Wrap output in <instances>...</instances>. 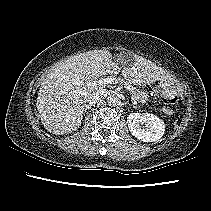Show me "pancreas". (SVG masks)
<instances>
[{
  "label": "pancreas",
  "instance_id": "cf45deb5",
  "mask_svg": "<svg viewBox=\"0 0 211 211\" xmlns=\"http://www.w3.org/2000/svg\"><path fill=\"white\" fill-rule=\"evenodd\" d=\"M130 91L132 92V96L135 97V99L140 103H146L149 95L145 92L140 91L139 89L135 87H131Z\"/></svg>",
  "mask_w": 211,
  "mask_h": 211
}]
</instances>
